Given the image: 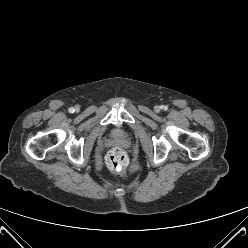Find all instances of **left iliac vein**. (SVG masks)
Returning a JSON list of instances; mask_svg holds the SVG:
<instances>
[{
    "label": "left iliac vein",
    "instance_id": "obj_1",
    "mask_svg": "<svg viewBox=\"0 0 248 248\" xmlns=\"http://www.w3.org/2000/svg\"><path fill=\"white\" fill-rule=\"evenodd\" d=\"M156 110H157V111H159V110H160V107H159V106H157V107H156Z\"/></svg>",
    "mask_w": 248,
    "mask_h": 248
}]
</instances>
